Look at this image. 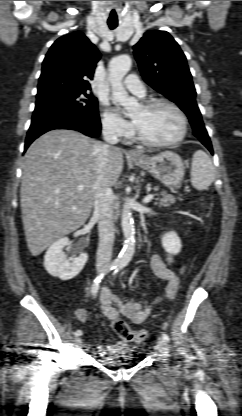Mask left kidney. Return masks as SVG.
I'll use <instances>...</instances> for the list:
<instances>
[{
    "label": "left kidney",
    "instance_id": "left-kidney-1",
    "mask_svg": "<svg viewBox=\"0 0 242 416\" xmlns=\"http://www.w3.org/2000/svg\"><path fill=\"white\" fill-rule=\"evenodd\" d=\"M161 242L165 251L173 255H177L182 247L181 240L175 232L165 233Z\"/></svg>",
    "mask_w": 242,
    "mask_h": 416
}]
</instances>
